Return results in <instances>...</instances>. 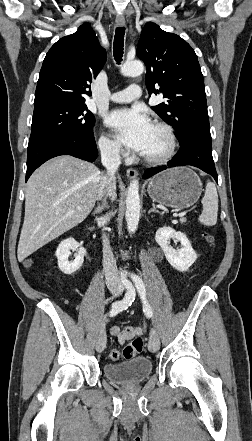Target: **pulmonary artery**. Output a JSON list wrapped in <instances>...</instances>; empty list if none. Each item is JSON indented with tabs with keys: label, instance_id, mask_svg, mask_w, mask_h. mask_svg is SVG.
I'll return each mask as SVG.
<instances>
[{
	"label": "pulmonary artery",
	"instance_id": "1",
	"mask_svg": "<svg viewBox=\"0 0 252 441\" xmlns=\"http://www.w3.org/2000/svg\"><path fill=\"white\" fill-rule=\"evenodd\" d=\"M141 88L138 85H130L125 90L113 93L109 99L115 103H129L141 96Z\"/></svg>",
	"mask_w": 252,
	"mask_h": 441
}]
</instances>
